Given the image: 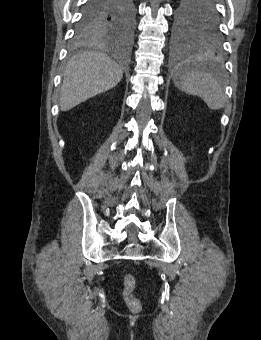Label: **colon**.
I'll return each instance as SVG.
<instances>
[{
  "instance_id": "1",
  "label": "colon",
  "mask_w": 261,
  "mask_h": 340,
  "mask_svg": "<svg viewBox=\"0 0 261 340\" xmlns=\"http://www.w3.org/2000/svg\"><path fill=\"white\" fill-rule=\"evenodd\" d=\"M135 286L134 276L130 273L125 274L123 277V298L129 309L134 312L141 308V303L134 293Z\"/></svg>"
}]
</instances>
